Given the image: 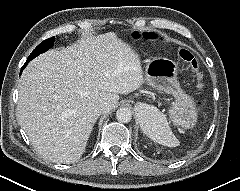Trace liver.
Here are the masks:
<instances>
[{
  "mask_svg": "<svg viewBox=\"0 0 240 191\" xmlns=\"http://www.w3.org/2000/svg\"><path fill=\"white\" fill-rule=\"evenodd\" d=\"M144 82L138 55L114 32L88 36L33 59L19 81L17 117L31 144L55 163L77 161L105 103Z\"/></svg>",
  "mask_w": 240,
  "mask_h": 191,
  "instance_id": "liver-1",
  "label": "liver"
}]
</instances>
